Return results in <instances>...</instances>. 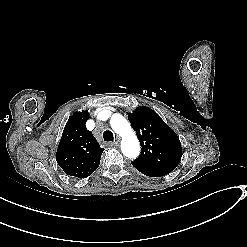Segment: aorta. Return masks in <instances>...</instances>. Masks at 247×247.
Here are the masks:
<instances>
[{"instance_id": "1", "label": "aorta", "mask_w": 247, "mask_h": 247, "mask_svg": "<svg viewBox=\"0 0 247 247\" xmlns=\"http://www.w3.org/2000/svg\"><path fill=\"white\" fill-rule=\"evenodd\" d=\"M112 129L122 137L121 150L124 156L134 159L140 153V144L130 123L120 114H113L110 119Z\"/></svg>"}]
</instances>
